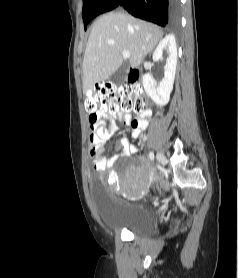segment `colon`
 Masks as SVG:
<instances>
[{"label": "colon", "mask_w": 238, "mask_h": 278, "mask_svg": "<svg viewBox=\"0 0 238 278\" xmlns=\"http://www.w3.org/2000/svg\"><path fill=\"white\" fill-rule=\"evenodd\" d=\"M140 94L136 83L121 87L104 84L90 91L85 99V109L91 126L97 123L103 112L114 113L122 110L142 113L147 111L149 105Z\"/></svg>", "instance_id": "obj_1"}]
</instances>
